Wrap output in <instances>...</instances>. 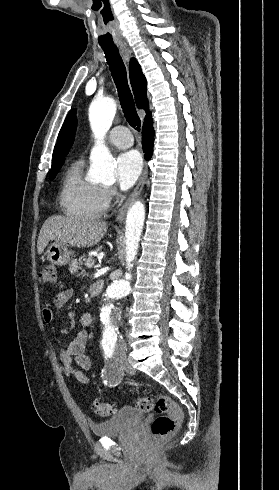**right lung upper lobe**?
Listing matches in <instances>:
<instances>
[{
  "instance_id": "1",
  "label": "right lung upper lobe",
  "mask_w": 279,
  "mask_h": 490,
  "mask_svg": "<svg viewBox=\"0 0 279 490\" xmlns=\"http://www.w3.org/2000/svg\"><path fill=\"white\" fill-rule=\"evenodd\" d=\"M130 82L136 98L138 108H144L147 111L143 128L147 125H152L153 120L151 113L148 112L149 106L147 101V88L146 79L141 72V68L136 61L132 58L130 62ZM76 130V116L75 110H73L64 121V124L59 132L57 138V144L55 145L53 152V161L51 170L61 167L64 162V157L67 155L74 139Z\"/></svg>"
}]
</instances>
